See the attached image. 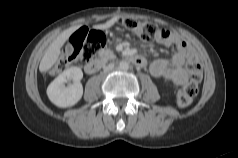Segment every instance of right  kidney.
Listing matches in <instances>:
<instances>
[{"mask_svg":"<svg viewBox=\"0 0 238 158\" xmlns=\"http://www.w3.org/2000/svg\"><path fill=\"white\" fill-rule=\"evenodd\" d=\"M83 72L79 67H71L56 77L47 88L49 100L60 108H67L75 105L83 95V86L80 80ZM73 81V84L65 86L66 82Z\"/></svg>","mask_w":238,"mask_h":158,"instance_id":"right-kidney-1","label":"right kidney"}]
</instances>
